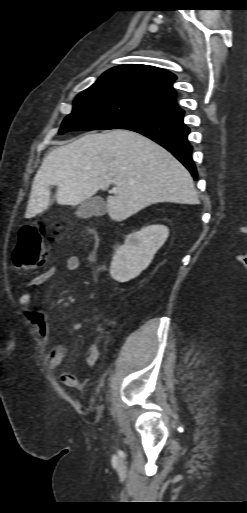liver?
<instances>
[{
    "instance_id": "liver-1",
    "label": "liver",
    "mask_w": 247,
    "mask_h": 513,
    "mask_svg": "<svg viewBox=\"0 0 247 513\" xmlns=\"http://www.w3.org/2000/svg\"><path fill=\"white\" fill-rule=\"evenodd\" d=\"M110 184L118 190L108 196L107 211L117 222L155 203L199 204L190 173L170 152L137 132L116 129L52 150L34 178L25 217L47 209L53 185L57 203L74 206Z\"/></svg>"
}]
</instances>
